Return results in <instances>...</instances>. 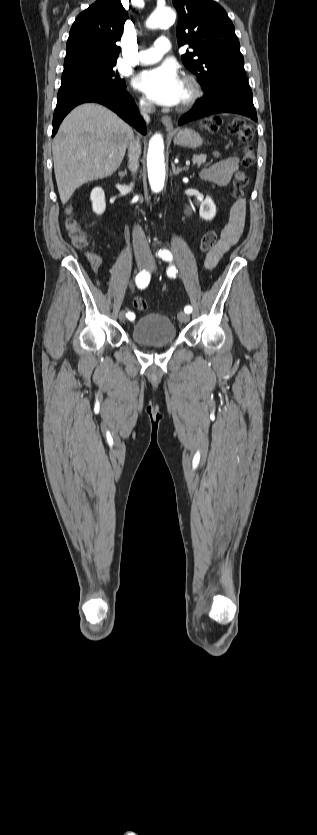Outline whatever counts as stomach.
Listing matches in <instances>:
<instances>
[{"mask_svg":"<svg viewBox=\"0 0 317 835\" xmlns=\"http://www.w3.org/2000/svg\"><path fill=\"white\" fill-rule=\"evenodd\" d=\"M174 143L185 148H198L203 139L199 133L191 128H182L172 133Z\"/></svg>","mask_w":317,"mask_h":835,"instance_id":"stomach-1","label":"stomach"}]
</instances>
